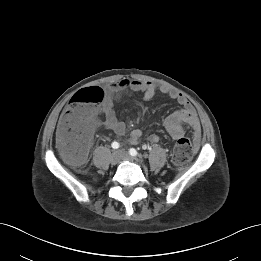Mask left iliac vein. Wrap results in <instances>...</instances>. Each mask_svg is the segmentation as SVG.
I'll return each mask as SVG.
<instances>
[{"label":"left iliac vein","instance_id":"obj_1","mask_svg":"<svg viewBox=\"0 0 261 261\" xmlns=\"http://www.w3.org/2000/svg\"><path fill=\"white\" fill-rule=\"evenodd\" d=\"M119 153V156L121 159H126V160H129V161H134L135 158L130 156L126 151L124 150H119L117 151Z\"/></svg>","mask_w":261,"mask_h":261}]
</instances>
